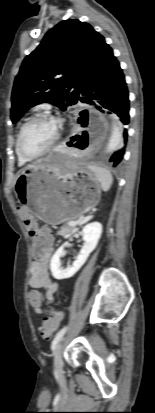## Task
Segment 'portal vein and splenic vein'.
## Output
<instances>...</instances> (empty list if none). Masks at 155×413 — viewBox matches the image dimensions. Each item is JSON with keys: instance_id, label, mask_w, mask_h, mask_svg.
<instances>
[{"instance_id": "1", "label": "portal vein and splenic vein", "mask_w": 155, "mask_h": 413, "mask_svg": "<svg viewBox=\"0 0 155 413\" xmlns=\"http://www.w3.org/2000/svg\"><path fill=\"white\" fill-rule=\"evenodd\" d=\"M85 221H87V218L81 219L80 222L83 223V222H85ZM69 224L72 225V226H74L76 223H75V222H70Z\"/></svg>"}]
</instances>
